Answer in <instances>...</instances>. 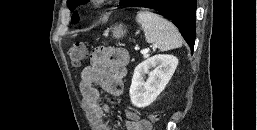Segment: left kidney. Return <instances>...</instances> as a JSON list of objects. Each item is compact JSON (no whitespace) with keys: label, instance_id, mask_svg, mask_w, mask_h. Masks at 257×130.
<instances>
[{"label":"left kidney","instance_id":"1","mask_svg":"<svg viewBox=\"0 0 257 130\" xmlns=\"http://www.w3.org/2000/svg\"><path fill=\"white\" fill-rule=\"evenodd\" d=\"M178 65L173 55L158 54L140 63L134 70L130 86V98L134 106H149L165 89ZM151 68L154 70L150 71ZM148 79L144 81L145 75Z\"/></svg>","mask_w":257,"mask_h":130}]
</instances>
